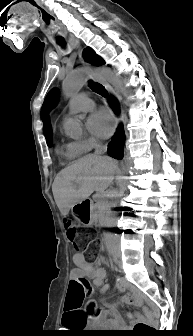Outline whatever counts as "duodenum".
<instances>
[{
  "instance_id": "410a0bca",
  "label": "duodenum",
  "mask_w": 193,
  "mask_h": 336,
  "mask_svg": "<svg viewBox=\"0 0 193 336\" xmlns=\"http://www.w3.org/2000/svg\"><path fill=\"white\" fill-rule=\"evenodd\" d=\"M112 257L115 261L119 259V255L117 253V250L115 248H112Z\"/></svg>"
}]
</instances>
